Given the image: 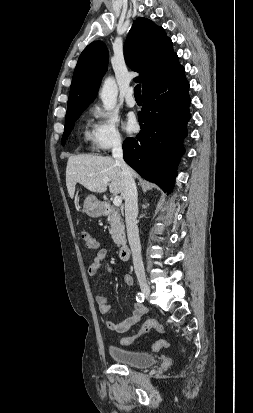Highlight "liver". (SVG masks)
I'll return each instance as SVG.
<instances>
[{
  "mask_svg": "<svg viewBox=\"0 0 253 413\" xmlns=\"http://www.w3.org/2000/svg\"><path fill=\"white\" fill-rule=\"evenodd\" d=\"M133 177L137 174L132 170ZM108 179V182H104ZM76 183L86 189L103 193L121 194L124 199L125 182L121 167L109 156L78 155L68 159L66 167V186L71 198L74 197Z\"/></svg>",
  "mask_w": 253,
  "mask_h": 413,
  "instance_id": "liver-1",
  "label": "liver"
}]
</instances>
